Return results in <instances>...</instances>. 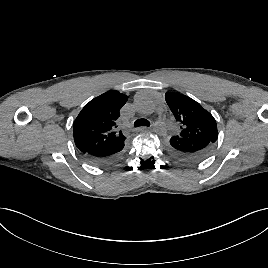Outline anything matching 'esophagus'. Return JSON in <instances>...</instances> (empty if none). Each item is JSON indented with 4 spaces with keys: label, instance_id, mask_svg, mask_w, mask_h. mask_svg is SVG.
<instances>
[{
    "label": "esophagus",
    "instance_id": "34e87169",
    "mask_svg": "<svg viewBox=\"0 0 268 268\" xmlns=\"http://www.w3.org/2000/svg\"><path fill=\"white\" fill-rule=\"evenodd\" d=\"M142 129H143V130H146V129H149V128H147V127H142Z\"/></svg>",
    "mask_w": 268,
    "mask_h": 268
}]
</instances>
